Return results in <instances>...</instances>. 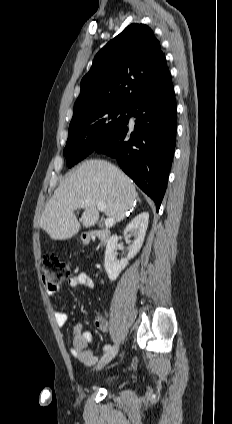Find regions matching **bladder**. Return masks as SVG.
<instances>
[{
    "instance_id": "1",
    "label": "bladder",
    "mask_w": 232,
    "mask_h": 424,
    "mask_svg": "<svg viewBox=\"0 0 232 424\" xmlns=\"http://www.w3.org/2000/svg\"><path fill=\"white\" fill-rule=\"evenodd\" d=\"M116 380L115 376H110L106 379L107 384H112Z\"/></svg>"
}]
</instances>
